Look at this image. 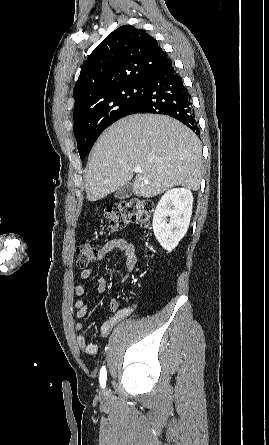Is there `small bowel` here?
<instances>
[{
    "label": "small bowel",
    "instance_id": "1",
    "mask_svg": "<svg viewBox=\"0 0 269 445\" xmlns=\"http://www.w3.org/2000/svg\"><path fill=\"white\" fill-rule=\"evenodd\" d=\"M113 250H119L124 257L126 274L121 278V282L124 283L129 273L134 269L137 263V255L135 247L132 243L124 238L112 239L106 242L100 249L99 258H104L107 254ZM92 270L84 269L80 273V277L83 280H87L91 277ZM106 282L104 278H100L97 281L96 293L101 294L105 290ZM86 293V288L83 284H77L75 286V294L79 297H83ZM110 308L112 310V316L108 318L100 326V334L102 337H107L111 329L121 320L127 318L135 309V305L132 304L128 307L120 308L118 302L115 299L110 300ZM76 310V317L79 319L84 318L89 311V303H87L83 298L78 299L74 304ZM75 330L79 332L76 341L78 347L89 355H93L97 352L96 344L87 340L85 334L82 333L84 330V323L79 321L75 325Z\"/></svg>",
    "mask_w": 269,
    "mask_h": 445
}]
</instances>
